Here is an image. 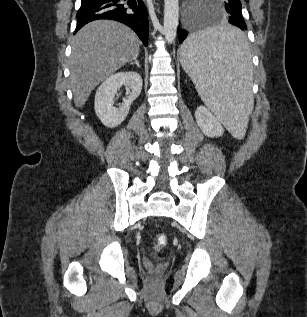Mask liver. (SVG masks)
I'll use <instances>...</instances> for the list:
<instances>
[{"label": "liver", "mask_w": 307, "mask_h": 317, "mask_svg": "<svg viewBox=\"0 0 307 317\" xmlns=\"http://www.w3.org/2000/svg\"><path fill=\"white\" fill-rule=\"evenodd\" d=\"M140 44L134 31L116 21L96 20L80 29L70 56L75 106L82 107L99 83L137 57Z\"/></svg>", "instance_id": "6515ba94"}]
</instances>
